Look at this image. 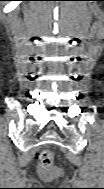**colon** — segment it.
I'll use <instances>...</instances> for the list:
<instances>
[{
    "label": "colon",
    "instance_id": "5ec220e1",
    "mask_svg": "<svg viewBox=\"0 0 104 189\" xmlns=\"http://www.w3.org/2000/svg\"><path fill=\"white\" fill-rule=\"evenodd\" d=\"M38 173L47 180L55 179L59 175V171L53 166V155L47 149L43 150L39 155Z\"/></svg>",
    "mask_w": 104,
    "mask_h": 189
}]
</instances>
